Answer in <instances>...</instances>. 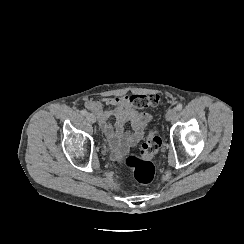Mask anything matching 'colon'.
Returning <instances> with one entry per match:
<instances>
[{"instance_id": "obj_1", "label": "colon", "mask_w": 244, "mask_h": 244, "mask_svg": "<svg viewBox=\"0 0 244 244\" xmlns=\"http://www.w3.org/2000/svg\"><path fill=\"white\" fill-rule=\"evenodd\" d=\"M162 96L157 93L136 94L130 97V104L136 109L155 108L162 103ZM162 145L157 127L148 130L142 149L138 156L130 152L125 159V165L133 169L140 183H150L154 177L153 155Z\"/></svg>"}]
</instances>
